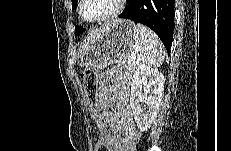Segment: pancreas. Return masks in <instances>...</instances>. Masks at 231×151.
I'll return each instance as SVG.
<instances>
[{"label": "pancreas", "instance_id": "cf45deb5", "mask_svg": "<svg viewBox=\"0 0 231 151\" xmlns=\"http://www.w3.org/2000/svg\"><path fill=\"white\" fill-rule=\"evenodd\" d=\"M121 65H122V69L125 72V74L129 76H131L136 69V63H133V62H130V63L122 62Z\"/></svg>", "mask_w": 231, "mask_h": 151}]
</instances>
